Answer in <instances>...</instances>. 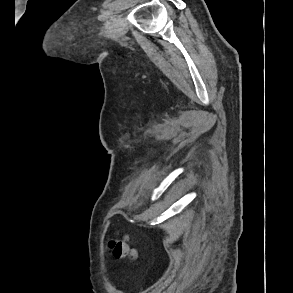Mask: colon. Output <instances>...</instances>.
<instances>
[{
  "label": "colon",
  "mask_w": 293,
  "mask_h": 293,
  "mask_svg": "<svg viewBox=\"0 0 293 293\" xmlns=\"http://www.w3.org/2000/svg\"><path fill=\"white\" fill-rule=\"evenodd\" d=\"M109 248L116 258L136 257L135 250L124 240H111L109 242Z\"/></svg>",
  "instance_id": "obj_1"
}]
</instances>
